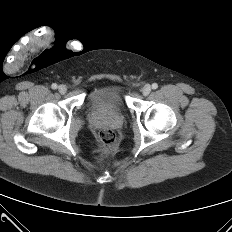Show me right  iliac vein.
<instances>
[{"label":"right iliac vein","instance_id":"right-iliac-vein-1","mask_svg":"<svg viewBox=\"0 0 232 232\" xmlns=\"http://www.w3.org/2000/svg\"><path fill=\"white\" fill-rule=\"evenodd\" d=\"M58 91H59L61 94H64V93H66V91H67V87H66L65 85H60V86L58 87Z\"/></svg>","mask_w":232,"mask_h":232}]
</instances>
